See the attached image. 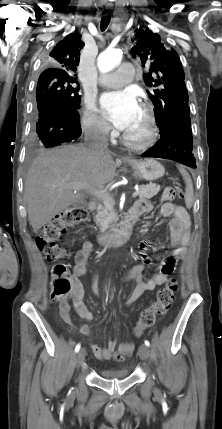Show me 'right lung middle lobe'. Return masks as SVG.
<instances>
[{"label": "right lung middle lobe", "instance_id": "dd1d6c3e", "mask_svg": "<svg viewBox=\"0 0 222 429\" xmlns=\"http://www.w3.org/2000/svg\"><path fill=\"white\" fill-rule=\"evenodd\" d=\"M79 88L74 77H39L36 89L38 111L54 99H61L78 108L81 100L78 94Z\"/></svg>", "mask_w": 222, "mask_h": 429}]
</instances>
